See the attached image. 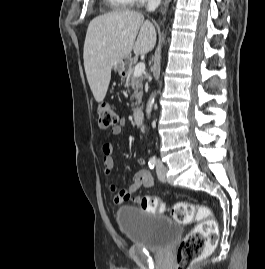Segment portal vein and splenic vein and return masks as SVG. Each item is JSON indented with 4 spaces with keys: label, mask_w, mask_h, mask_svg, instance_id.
Returning <instances> with one entry per match:
<instances>
[{
    "label": "portal vein and splenic vein",
    "mask_w": 265,
    "mask_h": 269,
    "mask_svg": "<svg viewBox=\"0 0 265 269\" xmlns=\"http://www.w3.org/2000/svg\"><path fill=\"white\" fill-rule=\"evenodd\" d=\"M144 71H145V63L140 62L135 66L133 76L134 77H139V76L142 75V73H144Z\"/></svg>",
    "instance_id": "18ae733b"
}]
</instances>
